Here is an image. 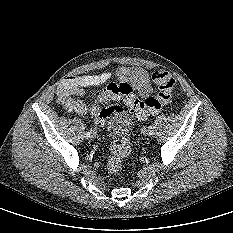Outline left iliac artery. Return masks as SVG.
<instances>
[{
  "label": "left iliac artery",
  "mask_w": 233,
  "mask_h": 233,
  "mask_svg": "<svg viewBox=\"0 0 233 233\" xmlns=\"http://www.w3.org/2000/svg\"><path fill=\"white\" fill-rule=\"evenodd\" d=\"M153 126L152 125H149L148 126V132H149V135H153L154 134V130H153Z\"/></svg>",
  "instance_id": "obj_1"
}]
</instances>
